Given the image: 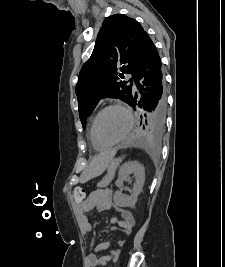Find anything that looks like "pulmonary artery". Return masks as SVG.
Masks as SVG:
<instances>
[{"mask_svg":"<svg viewBox=\"0 0 225 267\" xmlns=\"http://www.w3.org/2000/svg\"><path fill=\"white\" fill-rule=\"evenodd\" d=\"M132 78V75L131 74H128V79H131ZM133 89L136 90V86L135 84L133 83Z\"/></svg>","mask_w":225,"mask_h":267,"instance_id":"pulmonary-artery-1","label":"pulmonary artery"}]
</instances>
